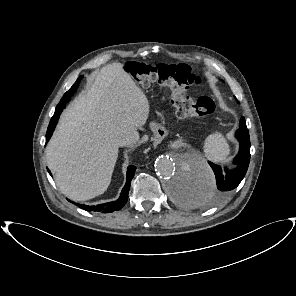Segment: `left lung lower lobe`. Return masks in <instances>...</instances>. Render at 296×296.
Here are the masks:
<instances>
[{
    "mask_svg": "<svg viewBox=\"0 0 296 296\" xmlns=\"http://www.w3.org/2000/svg\"><path fill=\"white\" fill-rule=\"evenodd\" d=\"M235 136L240 143L239 153L234 158V163L237 165V167L232 171H228L227 169H225L226 175H224L220 166L209 162L216 176L217 185V189L213 190L211 193L194 192L190 188L187 178L183 177L180 180V184L187 190L184 194V200L186 201V203L199 204L207 201L212 197L220 198L229 191L235 189L240 184L247 172L250 162V138L246 126V120L244 118H241L240 128L236 132ZM179 187L180 186L177 187L178 190L180 189ZM179 191H182V189H180Z\"/></svg>",
    "mask_w": 296,
    "mask_h": 296,
    "instance_id": "0a47b994",
    "label": "left lung lower lobe"
}]
</instances>
